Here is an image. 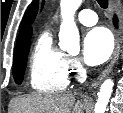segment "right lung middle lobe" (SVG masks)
<instances>
[{"label": "right lung middle lobe", "instance_id": "1", "mask_svg": "<svg viewBox=\"0 0 123 113\" xmlns=\"http://www.w3.org/2000/svg\"><path fill=\"white\" fill-rule=\"evenodd\" d=\"M30 40L17 46L13 56V77L15 82L20 85L26 69Z\"/></svg>", "mask_w": 123, "mask_h": 113}]
</instances>
